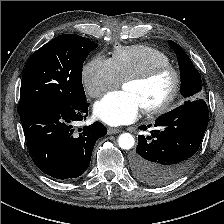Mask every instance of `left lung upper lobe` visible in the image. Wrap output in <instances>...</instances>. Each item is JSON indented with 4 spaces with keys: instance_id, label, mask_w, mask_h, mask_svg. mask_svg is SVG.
Wrapping results in <instances>:
<instances>
[{
    "instance_id": "obj_1",
    "label": "left lung upper lobe",
    "mask_w": 224,
    "mask_h": 224,
    "mask_svg": "<svg viewBox=\"0 0 224 224\" xmlns=\"http://www.w3.org/2000/svg\"><path fill=\"white\" fill-rule=\"evenodd\" d=\"M177 54L178 64L181 72V94L186 98L185 103L202 97L201 76L188 55L175 42H168Z\"/></svg>"
}]
</instances>
